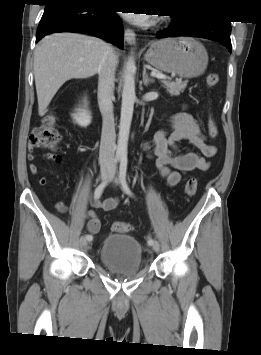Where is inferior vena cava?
Wrapping results in <instances>:
<instances>
[{
    "mask_svg": "<svg viewBox=\"0 0 261 355\" xmlns=\"http://www.w3.org/2000/svg\"><path fill=\"white\" fill-rule=\"evenodd\" d=\"M117 57L114 50L108 47L99 65L98 104L102 114V135L99 152L101 168L113 169L115 153V124L113 114V90Z\"/></svg>",
    "mask_w": 261,
    "mask_h": 355,
    "instance_id": "602c4592",
    "label": "inferior vena cava"
}]
</instances>
